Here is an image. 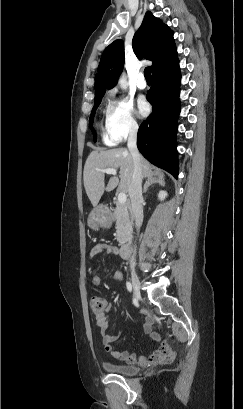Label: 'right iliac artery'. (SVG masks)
<instances>
[{
	"label": "right iliac artery",
	"instance_id": "1",
	"mask_svg": "<svg viewBox=\"0 0 243 409\" xmlns=\"http://www.w3.org/2000/svg\"><path fill=\"white\" fill-rule=\"evenodd\" d=\"M126 285H127L128 291L131 292V291H132V285H131V283H130V282H127Z\"/></svg>",
	"mask_w": 243,
	"mask_h": 409
}]
</instances>
